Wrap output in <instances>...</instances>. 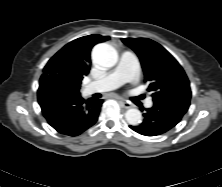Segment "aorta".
<instances>
[{
    "mask_svg": "<svg viewBox=\"0 0 222 187\" xmlns=\"http://www.w3.org/2000/svg\"><path fill=\"white\" fill-rule=\"evenodd\" d=\"M93 61L101 67H113L118 61L115 48L107 43L97 44L92 51ZM125 119L128 124L136 126L142 122V114L138 109L132 108L126 111Z\"/></svg>",
    "mask_w": 222,
    "mask_h": 187,
    "instance_id": "aorta-1",
    "label": "aorta"
}]
</instances>
